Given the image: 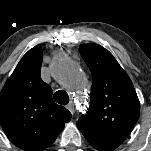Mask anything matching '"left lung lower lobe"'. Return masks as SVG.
<instances>
[{
  "label": "left lung lower lobe",
  "mask_w": 151,
  "mask_h": 151,
  "mask_svg": "<svg viewBox=\"0 0 151 151\" xmlns=\"http://www.w3.org/2000/svg\"><path fill=\"white\" fill-rule=\"evenodd\" d=\"M87 141L99 151H113L123 143L122 139H109L103 137H87Z\"/></svg>",
  "instance_id": "1"
}]
</instances>
